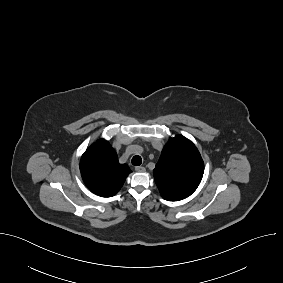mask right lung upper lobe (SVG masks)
I'll return each mask as SVG.
<instances>
[{
    "mask_svg": "<svg viewBox=\"0 0 283 283\" xmlns=\"http://www.w3.org/2000/svg\"><path fill=\"white\" fill-rule=\"evenodd\" d=\"M80 170L85 185L102 197L114 196L122 187L131 169L120 164L111 145L101 139L82 155Z\"/></svg>",
    "mask_w": 283,
    "mask_h": 283,
    "instance_id": "right-lung-upper-lobe-1",
    "label": "right lung upper lobe"
}]
</instances>
